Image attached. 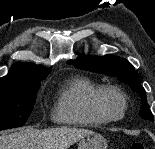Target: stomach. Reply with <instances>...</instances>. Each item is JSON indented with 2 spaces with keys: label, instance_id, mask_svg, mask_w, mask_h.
I'll return each instance as SVG.
<instances>
[{
  "label": "stomach",
  "instance_id": "obj_1",
  "mask_svg": "<svg viewBox=\"0 0 155 149\" xmlns=\"http://www.w3.org/2000/svg\"><path fill=\"white\" fill-rule=\"evenodd\" d=\"M77 149H107V141L102 135L93 132L79 140Z\"/></svg>",
  "mask_w": 155,
  "mask_h": 149
}]
</instances>
